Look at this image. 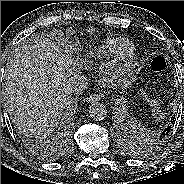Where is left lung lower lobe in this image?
Wrapping results in <instances>:
<instances>
[{
  "label": "left lung lower lobe",
  "mask_w": 184,
  "mask_h": 184,
  "mask_svg": "<svg viewBox=\"0 0 184 184\" xmlns=\"http://www.w3.org/2000/svg\"><path fill=\"white\" fill-rule=\"evenodd\" d=\"M171 122L173 123V121L171 120ZM170 126L165 127L164 129H162L158 135H153V137L159 139V141H162L163 138H165L166 135H168V133L170 132Z\"/></svg>",
  "instance_id": "left-lung-lower-lobe-1"
}]
</instances>
